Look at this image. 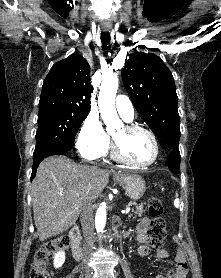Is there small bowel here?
Masks as SVG:
<instances>
[{
	"mask_svg": "<svg viewBox=\"0 0 221 278\" xmlns=\"http://www.w3.org/2000/svg\"><path fill=\"white\" fill-rule=\"evenodd\" d=\"M150 220L148 218H143L137 228H136V239L139 242V247L137 253L140 256H147L150 254V248L147 245L148 237L147 231L149 227ZM156 256L159 259L165 260L169 257V253L164 248H159L156 251ZM187 273V263L183 252L178 251L175 256V270L171 274H160L156 278H186ZM70 278V277H65Z\"/></svg>",
	"mask_w": 221,
	"mask_h": 278,
	"instance_id": "obj_1",
	"label": "small bowel"
}]
</instances>
